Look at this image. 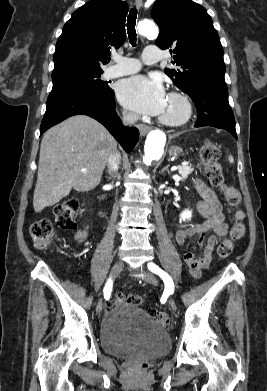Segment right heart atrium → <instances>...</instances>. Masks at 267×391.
Instances as JSON below:
<instances>
[{
    "instance_id": "d8ad5b80",
    "label": "right heart atrium",
    "mask_w": 267,
    "mask_h": 391,
    "mask_svg": "<svg viewBox=\"0 0 267 391\" xmlns=\"http://www.w3.org/2000/svg\"><path fill=\"white\" fill-rule=\"evenodd\" d=\"M123 118L127 121H131L133 119V115L129 112H124L123 113Z\"/></svg>"
}]
</instances>
